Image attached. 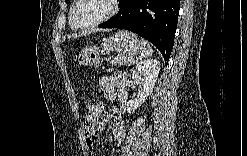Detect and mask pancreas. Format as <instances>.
I'll return each mask as SVG.
<instances>
[{"label": "pancreas", "instance_id": "1", "mask_svg": "<svg viewBox=\"0 0 247 156\" xmlns=\"http://www.w3.org/2000/svg\"><path fill=\"white\" fill-rule=\"evenodd\" d=\"M133 58L130 55H126L123 53H118L116 57L111 61L113 65L119 64V65H127L129 63H132Z\"/></svg>", "mask_w": 247, "mask_h": 156}]
</instances>
